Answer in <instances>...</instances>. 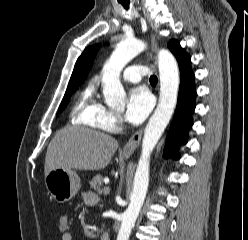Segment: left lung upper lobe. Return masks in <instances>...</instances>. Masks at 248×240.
<instances>
[{"label":"left lung upper lobe","mask_w":248,"mask_h":240,"mask_svg":"<svg viewBox=\"0 0 248 240\" xmlns=\"http://www.w3.org/2000/svg\"><path fill=\"white\" fill-rule=\"evenodd\" d=\"M168 48L174 54L178 63L188 55V53L180 46V43L177 40H170L168 43Z\"/></svg>","instance_id":"left-lung-upper-lobe-1"}]
</instances>
